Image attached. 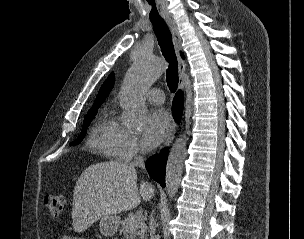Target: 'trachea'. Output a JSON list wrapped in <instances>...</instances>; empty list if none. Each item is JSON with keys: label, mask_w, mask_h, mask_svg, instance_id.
Returning a JSON list of instances; mask_svg holds the SVG:
<instances>
[{"label": "trachea", "mask_w": 304, "mask_h": 239, "mask_svg": "<svg viewBox=\"0 0 304 239\" xmlns=\"http://www.w3.org/2000/svg\"><path fill=\"white\" fill-rule=\"evenodd\" d=\"M145 5L148 9V18L153 25L155 35L157 37L161 52L169 63L166 73L167 85L172 93L178 86V64L172 43V35L166 23L162 18V13L159 12V4L155 0H146Z\"/></svg>", "instance_id": "obj_1"}]
</instances>
